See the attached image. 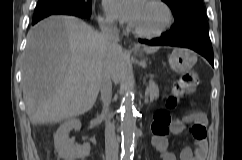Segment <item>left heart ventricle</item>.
Listing matches in <instances>:
<instances>
[{"label":"left heart ventricle","mask_w":242,"mask_h":160,"mask_svg":"<svg viewBox=\"0 0 242 160\" xmlns=\"http://www.w3.org/2000/svg\"><path fill=\"white\" fill-rule=\"evenodd\" d=\"M165 20L164 11L149 0H143L133 27L145 31L158 29Z\"/></svg>","instance_id":"left-heart-ventricle-1"}]
</instances>
